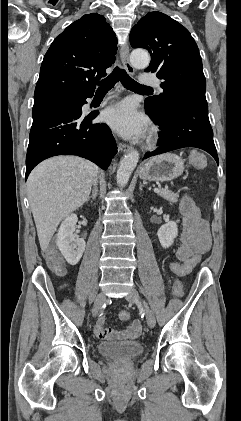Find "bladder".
Masks as SVG:
<instances>
[{"mask_svg":"<svg viewBox=\"0 0 241 421\" xmlns=\"http://www.w3.org/2000/svg\"><path fill=\"white\" fill-rule=\"evenodd\" d=\"M101 356L116 362H129L143 353V346L137 341L103 342L98 345Z\"/></svg>","mask_w":241,"mask_h":421,"instance_id":"bladder-1","label":"bladder"}]
</instances>
